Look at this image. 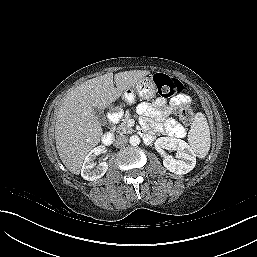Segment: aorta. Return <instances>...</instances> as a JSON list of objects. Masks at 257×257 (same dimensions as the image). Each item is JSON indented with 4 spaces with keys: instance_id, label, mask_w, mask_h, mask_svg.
<instances>
[{
    "instance_id": "obj_1",
    "label": "aorta",
    "mask_w": 257,
    "mask_h": 257,
    "mask_svg": "<svg viewBox=\"0 0 257 257\" xmlns=\"http://www.w3.org/2000/svg\"><path fill=\"white\" fill-rule=\"evenodd\" d=\"M129 143L132 146H137L140 144V137L138 135H132L129 139Z\"/></svg>"
}]
</instances>
